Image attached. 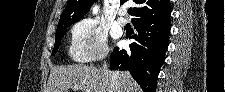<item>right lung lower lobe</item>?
Wrapping results in <instances>:
<instances>
[{
  "mask_svg": "<svg viewBox=\"0 0 225 92\" xmlns=\"http://www.w3.org/2000/svg\"><path fill=\"white\" fill-rule=\"evenodd\" d=\"M171 12L133 22L137 33L130 50L115 47L110 55L111 70H127L144 92H155L160 68L165 59L170 35Z\"/></svg>",
  "mask_w": 225,
  "mask_h": 92,
  "instance_id": "right-lung-lower-lobe-1",
  "label": "right lung lower lobe"
}]
</instances>
